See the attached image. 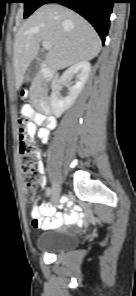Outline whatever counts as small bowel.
<instances>
[{"mask_svg":"<svg viewBox=\"0 0 136 296\" xmlns=\"http://www.w3.org/2000/svg\"><path fill=\"white\" fill-rule=\"evenodd\" d=\"M25 115L30 117L31 119L37 121L39 124L43 122L44 117L32 109H27L25 111ZM30 134L32 136H37L42 142L46 143L50 139V131L47 128H40L36 130L34 126L30 129ZM41 156V152H38V157ZM37 170L39 174V181L38 184L40 187L45 185V177L44 171L45 167L42 161H39L37 164ZM51 208L48 204H42L41 206H36L32 209V225L35 228H52V229H59L64 224L72 225L78 222L79 215L75 211H71L69 213H56L53 218H46L44 216H52ZM46 213H48L46 215Z\"/></svg>","mask_w":136,"mask_h":296,"instance_id":"obj_1","label":"small bowel"}]
</instances>
